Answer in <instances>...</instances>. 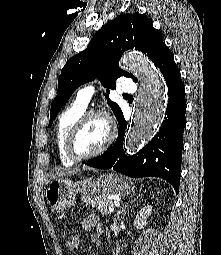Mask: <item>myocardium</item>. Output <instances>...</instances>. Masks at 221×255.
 I'll return each mask as SVG.
<instances>
[{
  "mask_svg": "<svg viewBox=\"0 0 221 255\" xmlns=\"http://www.w3.org/2000/svg\"><path fill=\"white\" fill-rule=\"evenodd\" d=\"M94 117L101 118L107 127V137L105 142L102 144V146L97 149L96 151L89 153V154H79L76 151V140L77 137L83 128V126L91 119ZM116 136V129L113 124V121L109 114H107L104 111L101 110H89L84 112L80 118L74 123L72 128L70 129L67 140H66V153L70 159H72L75 162H82L86 161L95 157L100 156L103 154L112 144Z\"/></svg>",
  "mask_w": 221,
  "mask_h": 255,
  "instance_id": "obj_1",
  "label": "myocardium"
}]
</instances>
